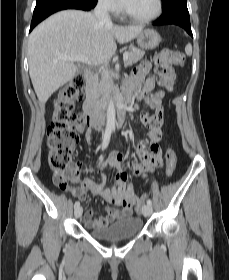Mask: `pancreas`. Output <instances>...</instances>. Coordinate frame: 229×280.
<instances>
[{
  "label": "pancreas",
  "instance_id": "pancreas-1",
  "mask_svg": "<svg viewBox=\"0 0 229 280\" xmlns=\"http://www.w3.org/2000/svg\"><path fill=\"white\" fill-rule=\"evenodd\" d=\"M128 60L125 65L130 66L137 63L142 59L145 52L138 48H131ZM115 89L113 80L107 76L102 75L100 78L96 77L92 83L87 87V96L95 100L99 104H103L107 101L110 93Z\"/></svg>",
  "mask_w": 229,
  "mask_h": 280
}]
</instances>
